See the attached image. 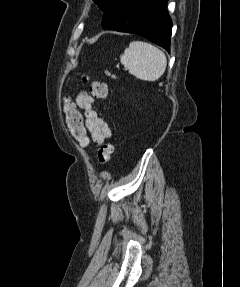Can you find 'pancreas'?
<instances>
[{
  "label": "pancreas",
  "mask_w": 240,
  "mask_h": 287,
  "mask_svg": "<svg viewBox=\"0 0 240 287\" xmlns=\"http://www.w3.org/2000/svg\"><path fill=\"white\" fill-rule=\"evenodd\" d=\"M108 75H111V74H110V73H108ZM112 77H113V78H115V76H114V75H112Z\"/></svg>",
  "instance_id": "obj_1"
}]
</instances>
